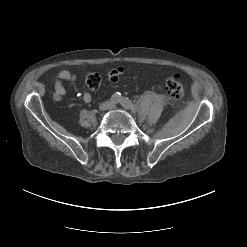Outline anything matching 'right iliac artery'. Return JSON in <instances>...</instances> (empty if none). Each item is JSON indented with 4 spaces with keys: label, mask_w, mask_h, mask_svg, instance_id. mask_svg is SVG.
Instances as JSON below:
<instances>
[{
    "label": "right iliac artery",
    "mask_w": 247,
    "mask_h": 247,
    "mask_svg": "<svg viewBox=\"0 0 247 247\" xmlns=\"http://www.w3.org/2000/svg\"><path fill=\"white\" fill-rule=\"evenodd\" d=\"M121 100H122V96L119 92L114 93L111 97L112 103H119L121 102Z\"/></svg>",
    "instance_id": "1"
}]
</instances>
